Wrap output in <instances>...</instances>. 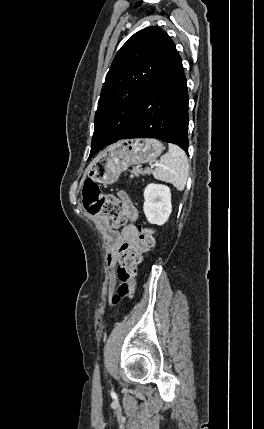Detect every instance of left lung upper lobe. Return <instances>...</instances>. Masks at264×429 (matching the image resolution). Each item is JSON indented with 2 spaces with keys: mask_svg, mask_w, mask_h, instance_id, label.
I'll list each match as a JSON object with an SVG mask.
<instances>
[{
  "mask_svg": "<svg viewBox=\"0 0 264 429\" xmlns=\"http://www.w3.org/2000/svg\"><path fill=\"white\" fill-rule=\"evenodd\" d=\"M171 43L164 30L152 26L135 33L120 48L102 87L90 157L130 131L140 102L158 76Z\"/></svg>",
  "mask_w": 264,
  "mask_h": 429,
  "instance_id": "5c2ea615",
  "label": "left lung upper lobe"
}]
</instances>
